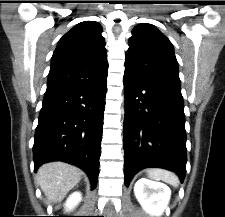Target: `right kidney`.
Instances as JSON below:
<instances>
[{"instance_id": "obj_1", "label": "right kidney", "mask_w": 225, "mask_h": 217, "mask_svg": "<svg viewBox=\"0 0 225 217\" xmlns=\"http://www.w3.org/2000/svg\"><path fill=\"white\" fill-rule=\"evenodd\" d=\"M80 201H81V193L80 192L72 193L65 203L66 211H71L72 209H74L79 204Z\"/></svg>"}]
</instances>
